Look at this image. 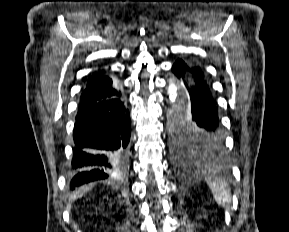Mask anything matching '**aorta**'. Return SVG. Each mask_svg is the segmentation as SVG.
Instances as JSON below:
<instances>
[{
    "label": "aorta",
    "instance_id": "aorta-1",
    "mask_svg": "<svg viewBox=\"0 0 289 232\" xmlns=\"http://www.w3.org/2000/svg\"><path fill=\"white\" fill-rule=\"evenodd\" d=\"M167 93L170 102L176 104L173 116L178 117L181 116L182 113L186 114L189 109V100L187 95L181 96L179 87L173 82L169 83Z\"/></svg>",
    "mask_w": 289,
    "mask_h": 232
}]
</instances>
